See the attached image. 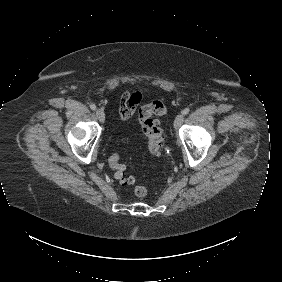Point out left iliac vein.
<instances>
[{"instance_id": "left-iliac-vein-1", "label": "left iliac vein", "mask_w": 282, "mask_h": 282, "mask_svg": "<svg viewBox=\"0 0 282 282\" xmlns=\"http://www.w3.org/2000/svg\"><path fill=\"white\" fill-rule=\"evenodd\" d=\"M184 121V115L182 113L178 114L174 120V128L178 129Z\"/></svg>"}]
</instances>
